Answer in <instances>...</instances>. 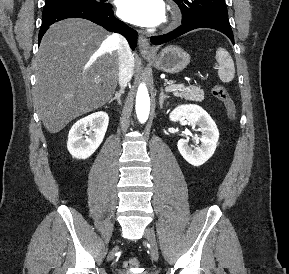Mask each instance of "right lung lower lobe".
<instances>
[{
  "label": "right lung lower lobe",
  "mask_w": 289,
  "mask_h": 274,
  "mask_svg": "<svg viewBox=\"0 0 289 274\" xmlns=\"http://www.w3.org/2000/svg\"><path fill=\"white\" fill-rule=\"evenodd\" d=\"M73 17L88 19L104 27L108 31L120 33L127 39L131 49L134 50L136 47L137 32L114 17L112 5L109 3H104L101 6L67 4L44 8L42 13V25L39 31V43L49 26L60 20Z\"/></svg>",
  "instance_id": "right-lung-lower-lobe-1"
}]
</instances>
